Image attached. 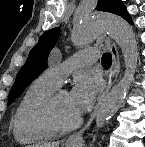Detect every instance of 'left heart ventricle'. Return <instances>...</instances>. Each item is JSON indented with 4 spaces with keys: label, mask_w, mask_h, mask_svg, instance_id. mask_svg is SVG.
Segmentation results:
<instances>
[{
    "label": "left heart ventricle",
    "mask_w": 145,
    "mask_h": 147,
    "mask_svg": "<svg viewBox=\"0 0 145 147\" xmlns=\"http://www.w3.org/2000/svg\"><path fill=\"white\" fill-rule=\"evenodd\" d=\"M57 112L65 122H72L78 117L72 108L69 92H64L59 96L57 100Z\"/></svg>",
    "instance_id": "obj_1"
}]
</instances>
